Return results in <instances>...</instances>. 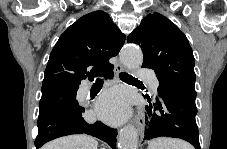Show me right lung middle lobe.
I'll use <instances>...</instances> for the list:
<instances>
[{
  "instance_id": "right-lung-middle-lobe-1",
  "label": "right lung middle lobe",
  "mask_w": 227,
  "mask_h": 149,
  "mask_svg": "<svg viewBox=\"0 0 227 149\" xmlns=\"http://www.w3.org/2000/svg\"><path fill=\"white\" fill-rule=\"evenodd\" d=\"M77 90V86L68 84H56L42 88V97L39 105V117L49 113L56 108L81 107L76 100Z\"/></svg>"
}]
</instances>
